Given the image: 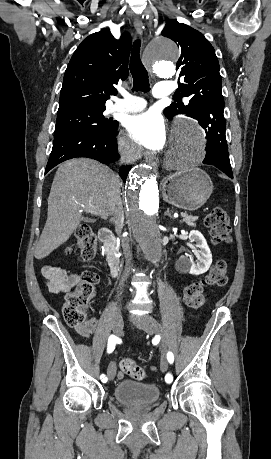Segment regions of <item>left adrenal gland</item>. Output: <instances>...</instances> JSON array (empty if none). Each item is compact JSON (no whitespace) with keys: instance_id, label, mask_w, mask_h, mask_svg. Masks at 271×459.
<instances>
[{"instance_id":"a2214340","label":"left adrenal gland","mask_w":271,"mask_h":459,"mask_svg":"<svg viewBox=\"0 0 271 459\" xmlns=\"http://www.w3.org/2000/svg\"><path fill=\"white\" fill-rule=\"evenodd\" d=\"M164 216H169V218H172L170 214V208H167V212H164Z\"/></svg>"}]
</instances>
